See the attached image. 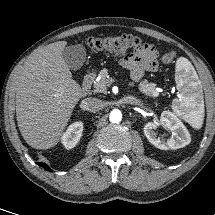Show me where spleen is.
<instances>
[{
    "label": "spleen",
    "mask_w": 215,
    "mask_h": 215,
    "mask_svg": "<svg viewBox=\"0 0 215 215\" xmlns=\"http://www.w3.org/2000/svg\"><path fill=\"white\" fill-rule=\"evenodd\" d=\"M176 83L180 88V97L173 100L172 110L192 126H199L203 119L204 103L194 68L184 57L176 63Z\"/></svg>",
    "instance_id": "3e777b00"
}]
</instances>
